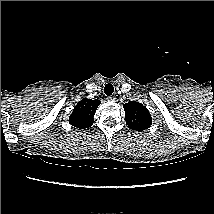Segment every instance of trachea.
I'll return each mask as SVG.
<instances>
[{
    "label": "trachea",
    "instance_id": "trachea-1",
    "mask_svg": "<svg viewBox=\"0 0 214 214\" xmlns=\"http://www.w3.org/2000/svg\"><path fill=\"white\" fill-rule=\"evenodd\" d=\"M113 92H114L113 85L112 84H106L105 87H104V93L107 96H111Z\"/></svg>",
    "mask_w": 214,
    "mask_h": 214
}]
</instances>
